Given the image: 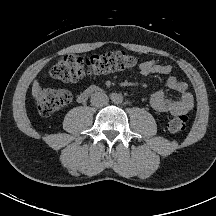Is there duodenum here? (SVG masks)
<instances>
[{
  "label": "duodenum",
  "mask_w": 216,
  "mask_h": 216,
  "mask_svg": "<svg viewBox=\"0 0 216 216\" xmlns=\"http://www.w3.org/2000/svg\"><path fill=\"white\" fill-rule=\"evenodd\" d=\"M97 92H99V89L97 87H91L88 90L81 93V96L83 98H87L90 94L97 93Z\"/></svg>",
  "instance_id": "410a0bca"
}]
</instances>
